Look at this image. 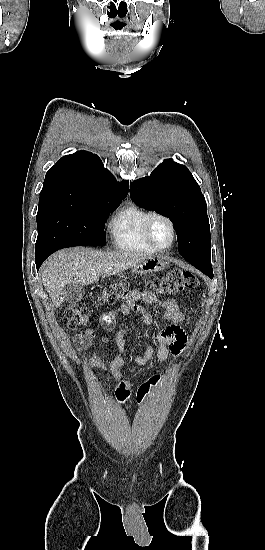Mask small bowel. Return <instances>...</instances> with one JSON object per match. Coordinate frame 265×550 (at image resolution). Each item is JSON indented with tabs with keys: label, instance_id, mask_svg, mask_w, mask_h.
Masks as SVG:
<instances>
[{
	"label": "small bowel",
	"instance_id": "obj_1",
	"mask_svg": "<svg viewBox=\"0 0 265 550\" xmlns=\"http://www.w3.org/2000/svg\"><path fill=\"white\" fill-rule=\"evenodd\" d=\"M139 301L145 303H158L161 305L165 310L164 318L172 322L173 325L162 329L157 334L159 343L157 349L151 344H146L143 353L134 357V362L139 366H144L154 357L161 363H165L170 356L179 357L183 353L186 344V334L184 331L185 315L174 299L160 300L152 292L130 291L124 298L118 311H111L104 315V329L107 331L113 330L118 312L129 314L134 311L142 316L144 328L141 335L142 338L146 340L148 338V327L152 324L153 320L151 315L138 304ZM125 333L126 329H120L115 334L114 341L117 352L109 364L96 356L89 359V365L91 367L103 369L111 373L113 379L117 382L116 396L120 402H125L130 393V383L122 379V369L125 364L124 355L126 350ZM94 335V328L85 329L74 337L75 346L79 350H86L91 345Z\"/></svg>",
	"mask_w": 265,
	"mask_h": 550
}]
</instances>
